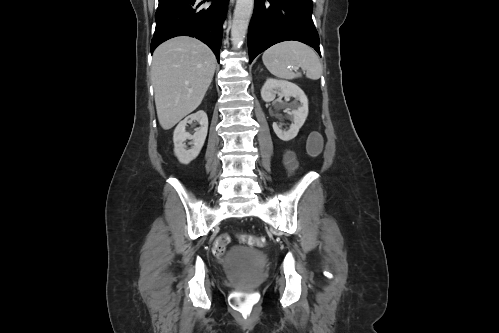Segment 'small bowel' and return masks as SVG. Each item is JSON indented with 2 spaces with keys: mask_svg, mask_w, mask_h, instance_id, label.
Wrapping results in <instances>:
<instances>
[{
  "mask_svg": "<svg viewBox=\"0 0 499 333\" xmlns=\"http://www.w3.org/2000/svg\"><path fill=\"white\" fill-rule=\"evenodd\" d=\"M284 162L289 170L290 173H293V171L296 168V160L293 152L287 151L284 155Z\"/></svg>",
  "mask_w": 499,
  "mask_h": 333,
  "instance_id": "obj_1",
  "label": "small bowel"
}]
</instances>
